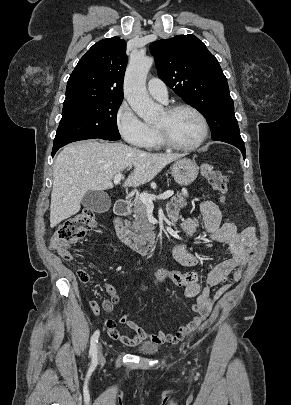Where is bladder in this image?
<instances>
[{"label":"bladder","instance_id":"31cf9c89","mask_svg":"<svg viewBox=\"0 0 291 405\" xmlns=\"http://www.w3.org/2000/svg\"><path fill=\"white\" fill-rule=\"evenodd\" d=\"M139 350L144 354H154L157 352L158 347L151 342H145L139 346Z\"/></svg>","mask_w":291,"mask_h":405}]
</instances>
